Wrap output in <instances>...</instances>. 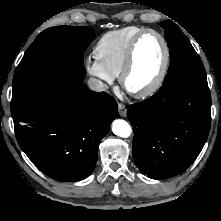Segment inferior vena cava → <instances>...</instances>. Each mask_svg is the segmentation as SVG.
Instances as JSON below:
<instances>
[{"mask_svg": "<svg viewBox=\"0 0 221 221\" xmlns=\"http://www.w3.org/2000/svg\"><path fill=\"white\" fill-rule=\"evenodd\" d=\"M88 85L91 90L96 92L106 91L108 89V86L105 83L96 78H90L88 80Z\"/></svg>", "mask_w": 221, "mask_h": 221, "instance_id": "1", "label": "inferior vena cava"}]
</instances>
